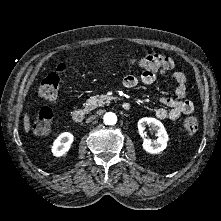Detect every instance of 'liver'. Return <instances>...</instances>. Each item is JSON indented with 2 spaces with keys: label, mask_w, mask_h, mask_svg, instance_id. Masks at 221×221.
Listing matches in <instances>:
<instances>
[{
  "label": "liver",
  "mask_w": 221,
  "mask_h": 221,
  "mask_svg": "<svg viewBox=\"0 0 221 221\" xmlns=\"http://www.w3.org/2000/svg\"><path fill=\"white\" fill-rule=\"evenodd\" d=\"M23 125H24L25 132L28 133L30 130V118L27 113H25L24 115Z\"/></svg>",
  "instance_id": "obj_1"
}]
</instances>
